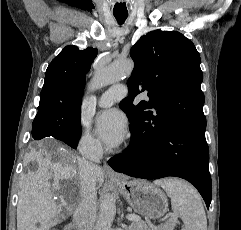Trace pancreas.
<instances>
[{
	"mask_svg": "<svg viewBox=\"0 0 241 230\" xmlns=\"http://www.w3.org/2000/svg\"><path fill=\"white\" fill-rule=\"evenodd\" d=\"M177 225V221L171 219L166 224L159 227H150L144 221H136L130 226L131 230H174V227Z\"/></svg>",
	"mask_w": 241,
	"mask_h": 230,
	"instance_id": "obj_1",
	"label": "pancreas"
}]
</instances>
